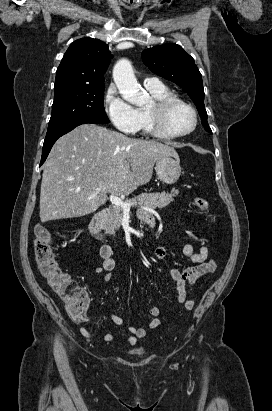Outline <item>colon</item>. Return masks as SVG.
I'll return each mask as SVG.
<instances>
[{
    "label": "colon",
    "mask_w": 272,
    "mask_h": 411,
    "mask_svg": "<svg viewBox=\"0 0 272 411\" xmlns=\"http://www.w3.org/2000/svg\"><path fill=\"white\" fill-rule=\"evenodd\" d=\"M193 205L210 216L206 198L195 197ZM34 254L40 274L48 286L63 300L70 318L76 322L85 320L89 297L56 263L52 252L51 233L42 225L35 227ZM187 306L189 307L190 304Z\"/></svg>",
    "instance_id": "1"
}]
</instances>
